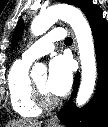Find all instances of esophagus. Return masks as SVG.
<instances>
[{
    "mask_svg": "<svg viewBox=\"0 0 108 127\" xmlns=\"http://www.w3.org/2000/svg\"><path fill=\"white\" fill-rule=\"evenodd\" d=\"M75 46H76V43H75V41H74V47H75ZM58 124H59V121H58V119H57L56 116L51 117V118L48 119V121H47V127H57Z\"/></svg>",
    "mask_w": 108,
    "mask_h": 127,
    "instance_id": "esophagus-1",
    "label": "esophagus"
}]
</instances>
